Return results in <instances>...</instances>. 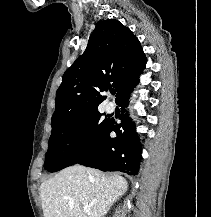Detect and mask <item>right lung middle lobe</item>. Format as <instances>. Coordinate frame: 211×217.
<instances>
[{"label": "right lung middle lobe", "mask_w": 211, "mask_h": 217, "mask_svg": "<svg viewBox=\"0 0 211 217\" xmlns=\"http://www.w3.org/2000/svg\"><path fill=\"white\" fill-rule=\"evenodd\" d=\"M98 110L52 128L44 168L57 172L86 158L101 142L109 119Z\"/></svg>", "instance_id": "obj_1"}]
</instances>
